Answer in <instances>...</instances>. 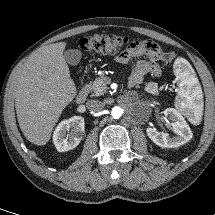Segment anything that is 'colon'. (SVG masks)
<instances>
[{
    "instance_id": "obj_1",
    "label": "colon",
    "mask_w": 215,
    "mask_h": 215,
    "mask_svg": "<svg viewBox=\"0 0 215 215\" xmlns=\"http://www.w3.org/2000/svg\"><path fill=\"white\" fill-rule=\"evenodd\" d=\"M128 43L129 39L125 36L95 34L80 39L79 48L86 52L114 54ZM176 57L177 52H167L163 55V61L166 64H170Z\"/></svg>"
}]
</instances>
